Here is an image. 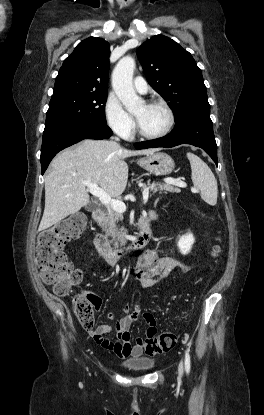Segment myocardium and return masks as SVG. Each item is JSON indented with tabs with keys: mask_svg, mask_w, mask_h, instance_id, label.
Wrapping results in <instances>:
<instances>
[{
	"mask_svg": "<svg viewBox=\"0 0 264 415\" xmlns=\"http://www.w3.org/2000/svg\"><path fill=\"white\" fill-rule=\"evenodd\" d=\"M146 104L149 106H159L163 108L168 115V122L164 130H162L161 132L156 133V134H146L140 129L139 123L135 118V126H136L135 128H136L137 136L143 139L155 140V139H160L166 136L167 134H169L175 123V114L172 108L165 101L160 100V99L150 100Z\"/></svg>",
	"mask_w": 264,
	"mask_h": 415,
	"instance_id": "f54148a6",
	"label": "myocardium"
}]
</instances>
